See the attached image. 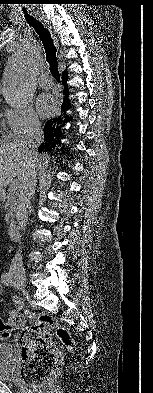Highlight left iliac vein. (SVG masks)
I'll return each instance as SVG.
<instances>
[{"label": "left iliac vein", "mask_w": 153, "mask_h": 393, "mask_svg": "<svg viewBox=\"0 0 153 393\" xmlns=\"http://www.w3.org/2000/svg\"><path fill=\"white\" fill-rule=\"evenodd\" d=\"M13 286L18 288V289H22V287L18 283H16V282L13 283Z\"/></svg>", "instance_id": "left-iliac-vein-1"}]
</instances>
